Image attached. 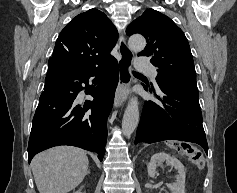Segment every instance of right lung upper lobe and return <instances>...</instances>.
Returning a JSON list of instances; mask_svg holds the SVG:
<instances>
[{
    "mask_svg": "<svg viewBox=\"0 0 237 193\" xmlns=\"http://www.w3.org/2000/svg\"><path fill=\"white\" fill-rule=\"evenodd\" d=\"M118 32L107 16L93 8L77 15L61 31L48 65L81 73L103 67L115 58L110 55Z\"/></svg>",
    "mask_w": 237,
    "mask_h": 193,
    "instance_id": "right-lung-upper-lobe-1",
    "label": "right lung upper lobe"
}]
</instances>
